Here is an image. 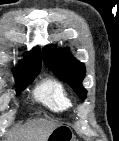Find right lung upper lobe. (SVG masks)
<instances>
[{
  "label": "right lung upper lobe",
  "mask_w": 119,
  "mask_h": 141,
  "mask_svg": "<svg viewBox=\"0 0 119 141\" xmlns=\"http://www.w3.org/2000/svg\"><path fill=\"white\" fill-rule=\"evenodd\" d=\"M41 63V52L40 49L37 47L29 52L23 60H21L20 70L18 71V74L24 75L35 71H40Z\"/></svg>",
  "instance_id": "obj_1"
}]
</instances>
